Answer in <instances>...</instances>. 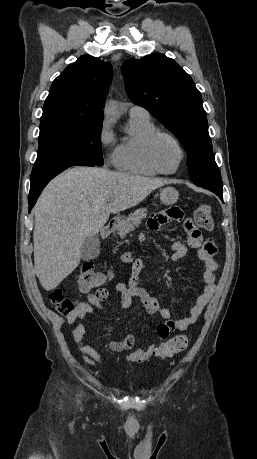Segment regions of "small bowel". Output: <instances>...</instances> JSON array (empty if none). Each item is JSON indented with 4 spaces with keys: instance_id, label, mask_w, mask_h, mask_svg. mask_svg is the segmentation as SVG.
<instances>
[{
    "instance_id": "1",
    "label": "small bowel",
    "mask_w": 257,
    "mask_h": 459,
    "mask_svg": "<svg viewBox=\"0 0 257 459\" xmlns=\"http://www.w3.org/2000/svg\"><path fill=\"white\" fill-rule=\"evenodd\" d=\"M188 218L186 208L183 205H158L157 211L151 213L145 219V224L150 229H165L167 226H179L180 222H183L181 235L176 237V242L168 250V255L171 257L173 263H178L185 258L188 252L187 247L196 248V254L202 269L204 286L183 318L177 320L171 319V310L166 294L152 295L138 286L143 257L142 255L132 256L129 250H123L119 258L120 263H133L134 266L133 275L129 282L127 284L118 283L116 285V291L120 294L119 306L116 308L107 307L103 304V301L107 297L100 299L96 292H85L84 301L75 300L76 309L65 318L66 324L71 325L76 320H83L94 309L105 312L127 309L131 306L134 298H138L141 301L149 314H159L165 320V322L157 326L156 335L160 340H165L173 331H183L194 324L215 292V272L218 268V263L215 260L216 246L208 240H203L200 234L196 232L195 221L188 220ZM136 242L137 244H146V235H137ZM104 290L108 296L107 290L105 288ZM85 332L86 327L83 323L77 324L72 331L73 341L81 352L83 361L90 366L103 363L101 354L84 341ZM136 338L137 336L133 332H129L122 340L110 341L108 347L114 352L130 350L134 347ZM155 348L154 344L138 347L127 356L126 360L130 363H142L153 355Z\"/></svg>"
}]
</instances>
